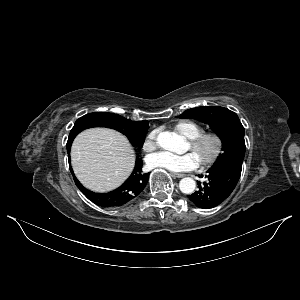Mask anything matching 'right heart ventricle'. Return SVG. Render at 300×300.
Masks as SVG:
<instances>
[{"label":"right heart ventricle","mask_w":300,"mask_h":300,"mask_svg":"<svg viewBox=\"0 0 300 300\" xmlns=\"http://www.w3.org/2000/svg\"><path fill=\"white\" fill-rule=\"evenodd\" d=\"M174 130L184 137L191 139L203 132V128L189 120H182L174 125Z\"/></svg>","instance_id":"obj_1"}]
</instances>
